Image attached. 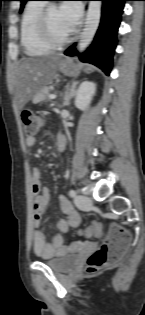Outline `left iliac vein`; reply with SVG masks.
Wrapping results in <instances>:
<instances>
[{"label":"left iliac vein","instance_id":"1","mask_svg":"<svg viewBox=\"0 0 145 315\" xmlns=\"http://www.w3.org/2000/svg\"><path fill=\"white\" fill-rule=\"evenodd\" d=\"M75 204L80 209H86L92 205V200L88 195L80 194L75 197Z\"/></svg>","mask_w":145,"mask_h":315}]
</instances>
